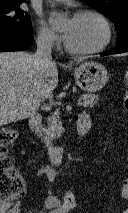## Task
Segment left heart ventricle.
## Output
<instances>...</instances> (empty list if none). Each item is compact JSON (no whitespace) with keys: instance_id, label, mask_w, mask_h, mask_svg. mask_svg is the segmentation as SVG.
Segmentation results:
<instances>
[{"instance_id":"b2bd125f","label":"left heart ventricle","mask_w":128,"mask_h":213,"mask_svg":"<svg viewBox=\"0 0 128 213\" xmlns=\"http://www.w3.org/2000/svg\"><path fill=\"white\" fill-rule=\"evenodd\" d=\"M67 43L76 49H91L99 46L105 37L102 23L95 17L73 18L64 24Z\"/></svg>"}]
</instances>
